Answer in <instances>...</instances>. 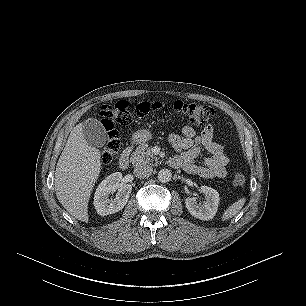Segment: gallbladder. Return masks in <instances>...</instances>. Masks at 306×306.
<instances>
[{
	"mask_svg": "<svg viewBox=\"0 0 306 306\" xmlns=\"http://www.w3.org/2000/svg\"><path fill=\"white\" fill-rule=\"evenodd\" d=\"M82 130L88 144L93 147H103L108 136L103 125L94 118H89L83 122Z\"/></svg>",
	"mask_w": 306,
	"mask_h": 306,
	"instance_id": "1",
	"label": "gallbladder"
}]
</instances>
